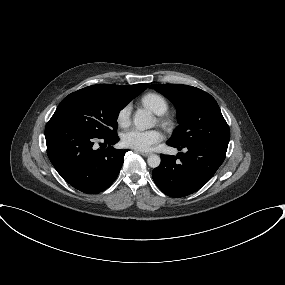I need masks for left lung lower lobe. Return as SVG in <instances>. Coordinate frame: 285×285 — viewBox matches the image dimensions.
Wrapping results in <instances>:
<instances>
[{"mask_svg": "<svg viewBox=\"0 0 285 285\" xmlns=\"http://www.w3.org/2000/svg\"><path fill=\"white\" fill-rule=\"evenodd\" d=\"M168 145L186 152L179 153L177 157L161 155V164L153 170L152 177L163 193L177 198L203 187L223 163L228 147L203 142L184 147Z\"/></svg>", "mask_w": 285, "mask_h": 285, "instance_id": "left-lung-lower-lobe-1", "label": "left lung lower lobe"}]
</instances>
